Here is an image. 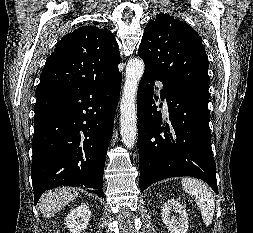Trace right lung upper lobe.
I'll return each mask as SVG.
<instances>
[{"label":"right lung upper lobe","mask_w":253,"mask_h":233,"mask_svg":"<svg viewBox=\"0 0 253 233\" xmlns=\"http://www.w3.org/2000/svg\"><path fill=\"white\" fill-rule=\"evenodd\" d=\"M120 53L113 33L99 22L75 29L47 59L35 96L105 80L118 71Z\"/></svg>","instance_id":"obj_1"}]
</instances>
